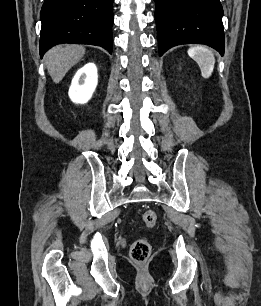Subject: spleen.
Segmentation results:
<instances>
[{
    "label": "spleen",
    "instance_id": "obj_1",
    "mask_svg": "<svg viewBox=\"0 0 261 306\" xmlns=\"http://www.w3.org/2000/svg\"><path fill=\"white\" fill-rule=\"evenodd\" d=\"M188 54L199 65L202 76L209 78L212 75L215 65L213 52L206 47L197 46L190 48Z\"/></svg>",
    "mask_w": 261,
    "mask_h": 306
}]
</instances>
